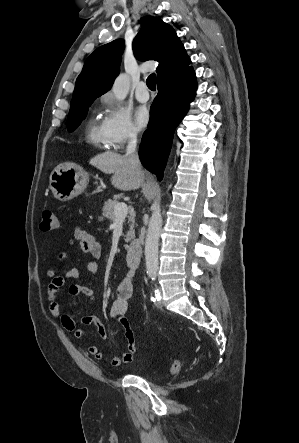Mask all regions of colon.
Returning <instances> with one entry per match:
<instances>
[{"mask_svg":"<svg viewBox=\"0 0 299 443\" xmlns=\"http://www.w3.org/2000/svg\"><path fill=\"white\" fill-rule=\"evenodd\" d=\"M40 228L43 231H51V230H55L58 228V218L53 211L45 210L43 212ZM126 324H127V328H128V336L135 343H137V341H138L137 334L134 331V329L132 328L129 320H127ZM179 368H180V362L178 360H175L171 365V372L176 373V372H178Z\"/></svg>","mask_w":299,"mask_h":443,"instance_id":"5ec220e1","label":"colon"}]
</instances>
